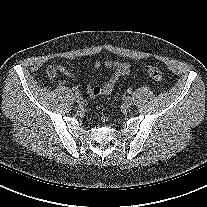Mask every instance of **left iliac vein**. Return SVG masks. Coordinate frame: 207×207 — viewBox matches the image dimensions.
<instances>
[{"mask_svg":"<svg viewBox=\"0 0 207 207\" xmlns=\"http://www.w3.org/2000/svg\"><path fill=\"white\" fill-rule=\"evenodd\" d=\"M133 104V99L131 97H126L123 101V106L125 108H130Z\"/></svg>","mask_w":207,"mask_h":207,"instance_id":"obj_1","label":"left iliac vein"}]
</instances>
